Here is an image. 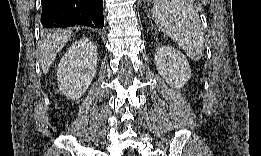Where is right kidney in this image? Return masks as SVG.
I'll list each match as a JSON object with an SVG mask.
<instances>
[{
    "label": "right kidney",
    "mask_w": 261,
    "mask_h": 156,
    "mask_svg": "<svg viewBox=\"0 0 261 156\" xmlns=\"http://www.w3.org/2000/svg\"><path fill=\"white\" fill-rule=\"evenodd\" d=\"M97 47L88 39L74 42L60 60L57 82L66 97L75 100L88 89L97 70Z\"/></svg>",
    "instance_id": "ca27d5eb"
}]
</instances>
